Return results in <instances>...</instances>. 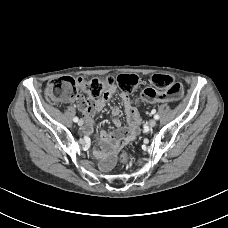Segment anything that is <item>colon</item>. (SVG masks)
<instances>
[{"label":"colon","instance_id":"colon-1","mask_svg":"<svg viewBox=\"0 0 228 228\" xmlns=\"http://www.w3.org/2000/svg\"><path fill=\"white\" fill-rule=\"evenodd\" d=\"M153 88L142 91L140 100L144 102H173L181 99L182 86L175 82L174 78L167 74H156L151 79ZM116 82L123 93L129 94L134 91L138 84V77L134 74H121ZM114 85L112 78H82L60 77L51 80L45 90L46 98L54 104L67 103L79 98L81 91L88 94L92 99L102 96ZM129 160L127 153L120 155V161L126 163Z\"/></svg>","mask_w":228,"mask_h":228}]
</instances>
